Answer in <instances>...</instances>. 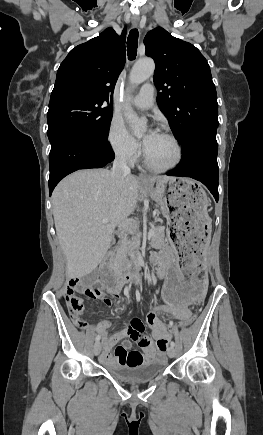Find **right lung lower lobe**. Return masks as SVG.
Returning a JSON list of instances; mask_svg holds the SVG:
<instances>
[{
	"mask_svg": "<svg viewBox=\"0 0 263 435\" xmlns=\"http://www.w3.org/2000/svg\"><path fill=\"white\" fill-rule=\"evenodd\" d=\"M114 159L107 140L100 141L82 133L59 134L49 154V191L66 175L88 168H101Z\"/></svg>",
	"mask_w": 263,
	"mask_h": 435,
	"instance_id": "right-lung-lower-lobe-1",
	"label": "right lung lower lobe"
}]
</instances>
